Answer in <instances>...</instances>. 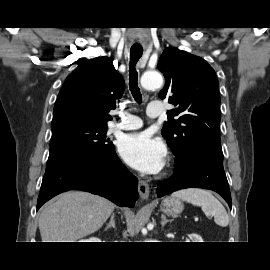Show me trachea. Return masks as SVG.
Wrapping results in <instances>:
<instances>
[{
    "label": "trachea",
    "mask_w": 270,
    "mask_h": 270,
    "mask_svg": "<svg viewBox=\"0 0 270 270\" xmlns=\"http://www.w3.org/2000/svg\"><path fill=\"white\" fill-rule=\"evenodd\" d=\"M143 54L142 47H132L130 53V64H129V87L130 91L137 103H141L142 95L138 87V73L135 69L136 63L141 58Z\"/></svg>",
    "instance_id": "3493384b"
}]
</instances>
